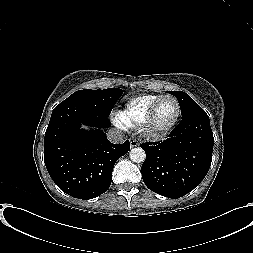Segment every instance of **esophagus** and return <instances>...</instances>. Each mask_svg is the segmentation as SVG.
I'll list each match as a JSON object with an SVG mask.
<instances>
[{"label": "esophagus", "mask_w": 253, "mask_h": 253, "mask_svg": "<svg viewBox=\"0 0 253 253\" xmlns=\"http://www.w3.org/2000/svg\"><path fill=\"white\" fill-rule=\"evenodd\" d=\"M130 146L132 148L137 147V146H139V142L135 138H130Z\"/></svg>", "instance_id": "1"}]
</instances>
